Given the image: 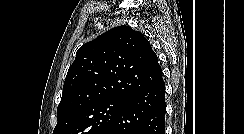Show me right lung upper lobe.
<instances>
[{"label": "right lung upper lobe", "mask_w": 244, "mask_h": 134, "mask_svg": "<svg viewBox=\"0 0 244 134\" xmlns=\"http://www.w3.org/2000/svg\"><path fill=\"white\" fill-rule=\"evenodd\" d=\"M161 81L158 57L143 34L125 25L112 28L76 52L64 82L57 119L104 99H129Z\"/></svg>", "instance_id": "right-lung-upper-lobe-1"}]
</instances>
